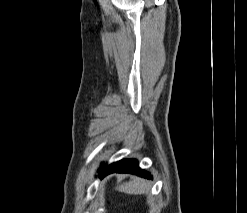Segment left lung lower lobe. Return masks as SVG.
<instances>
[{"mask_svg": "<svg viewBox=\"0 0 247 213\" xmlns=\"http://www.w3.org/2000/svg\"><path fill=\"white\" fill-rule=\"evenodd\" d=\"M132 173L137 174L138 176L144 177V178H151L150 173H147L145 170H142L138 166V162L135 159H126L121 160L115 163H112L111 165L107 166L103 171L100 173V177H103L110 173Z\"/></svg>", "mask_w": 247, "mask_h": 213, "instance_id": "0a47b994", "label": "left lung lower lobe"}]
</instances>
